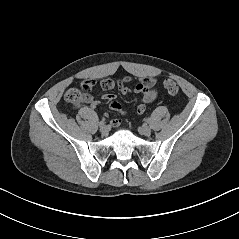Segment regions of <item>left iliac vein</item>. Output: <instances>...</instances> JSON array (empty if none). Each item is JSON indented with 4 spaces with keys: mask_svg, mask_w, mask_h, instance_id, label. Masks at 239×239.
<instances>
[{
    "mask_svg": "<svg viewBox=\"0 0 239 239\" xmlns=\"http://www.w3.org/2000/svg\"><path fill=\"white\" fill-rule=\"evenodd\" d=\"M138 131L140 134L145 135V136L151 134V128L147 125H143V126L139 127Z\"/></svg>",
    "mask_w": 239,
    "mask_h": 239,
    "instance_id": "left-iliac-vein-1",
    "label": "left iliac vein"
}]
</instances>
